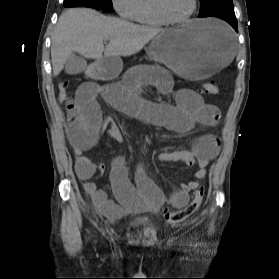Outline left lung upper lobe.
<instances>
[{"mask_svg": "<svg viewBox=\"0 0 279 279\" xmlns=\"http://www.w3.org/2000/svg\"><path fill=\"white\" fill-rule=\"evenodd\" d=\"M201 10L198 17H209L216 13L234 11L232 0H200Z\"/></svg>", "mask_w": 279, "mask_h": 279, "instance_id": "5c2ea615", "label": "left lung upper lobe"}]
</instances>
